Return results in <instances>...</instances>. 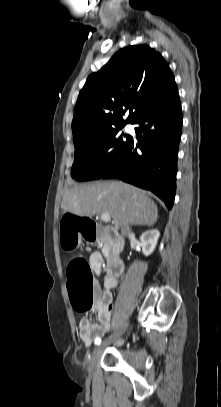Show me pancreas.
<instances>
[{
	"label": "pancreas",
	"mask_w": 221,
	"mask_h": 407,
	"mask_svg": "<svg viewBox=\"0 0 221 407\" xmlns=\"http://www.w3.org/2000/svg\"><path fill=\"white\" fill-rule=\"evenodd\" d=\"M110 250V243L109 242H105L104 243V254L107 255L108 252Z\"/></svg>",
	"instance_id": "obj_1"
}]
</instances>
